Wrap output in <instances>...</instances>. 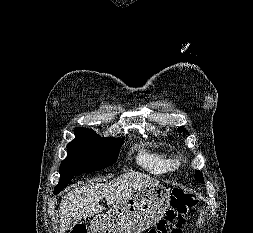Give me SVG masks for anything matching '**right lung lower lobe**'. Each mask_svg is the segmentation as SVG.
<instances>
[{"label":"right lung lower lobe","mask_w":253,"mask_h":233,"mask_svg":"<svg viewBox=\"0 0 253 233\" xmlns=\"http://www.w3.org/2000/svg\"><path fill=\"white\" fill-rule=\"evenodd\" d=\"M73 178L70 177L68 178L67 180L63 181V182H60L56 187H55V190H54V194H58L69 182L70 180Z\"/></svg>","instance_id":"1"}]
</instances>
